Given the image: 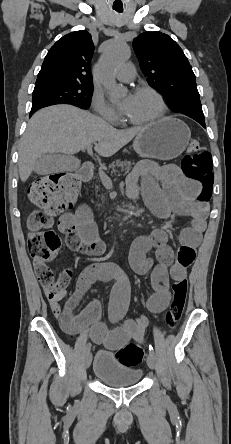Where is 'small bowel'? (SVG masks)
I'll list each match as a JSON object with an SVG mask.
<instances>
[{
	"mask_svg": "<svg viewBox=\"0 0 231 444\" xmlns=\"http://www.w3.org/2000/svg\"><path fill=\"white\" fill-rule=\"evenodd\" d=\"M199 185L185 177L174 165L158 166L154 163L140 164L127 180V194L136 198L140 193L151 209L160 218L190 216L192 225L185 228L180 236L181 246L174 261V251L168 245V234L163 228L149 233H141L134 240L129 262L139 274L151 272L153 294L146 306L152 313L164 311L170 302V278H185L187 268L193 263L196 248L205 229L208 211L206 203L197 200ZM58 229L66 235L69 248L88 256H99L105 251V245L97 237L96 228L90 210L81 206L75 214H64L59 218ZM155 251V258L148 256ZM36 273L41 266L34 263ZM114 268L106 264H94L86 267L80 274L75 291L68 295L66 291L51 293L44 290L50 309L61 328L69 335L87 330L91 340L109 350L122 348L131 339L143 338L148 321L144 316L123 320L114 329L99 321L101 304L98 300L90 302L79 314L73 311L81 297L97 280L104 279ZM66 300L65 306L60 301ZM129 303V286L122 276L114 286L110 300V314L116 317L124 312Z\"/></svg>",
	"mask_w": 231,
	"mask_h": 444,
	"instance_id": "1",
	"label": "small bowel"
}]
</instances>
